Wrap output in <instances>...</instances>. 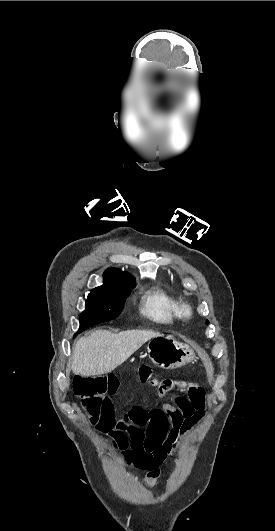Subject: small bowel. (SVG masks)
<instances>
[{
  "mask_svg": "<svg viewBox=\"0 0 275 531\" xmlns=\"http://www.w3.org/2000/svg\"><path fill=\"white\" fill-rule=\"evenodd\" d=\"M137 374L142 383L151 381L150 368L141 367ZM176 379L183 382L188 378L178 375ZM106 382L107 389L101 402L102 415L115 417L119 413L115 407L116 391L120 388L122 378L120 375H108ZM197 384L195 390H186L181 384L180 392L201 397L203 385ZM204 407L203 399L195 398L190 402L186 397H177L171 404L152 409L134 406L114 418L111 424L102 426L101 431L120 449H127L129 445L130 449L125 452L124 461L145 470L146 480H155L160 476V467L165 459L177 453L185 436L205 418ZM156 439L160 440L159 445L153 443Z\"/></svg>",
  "mask_w": 275,
  "mask_h": 531,
  "instance_id": "small-bowel-1",
  "label": "small bowel"
}]
</instances>
